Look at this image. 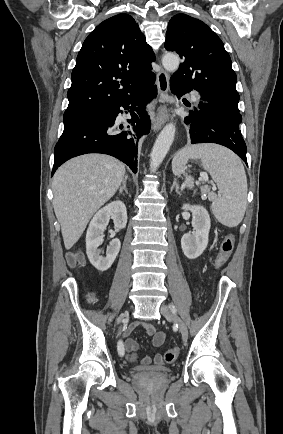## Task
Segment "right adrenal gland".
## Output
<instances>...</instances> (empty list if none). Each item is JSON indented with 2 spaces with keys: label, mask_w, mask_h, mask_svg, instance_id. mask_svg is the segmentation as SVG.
I'll return each mask as SVG.
<instances>
[{
  "label": "right adrenal gland",
  "mask_w": 283,
  "mask_h": 434,
  "mask_svg": "<svg viewBox=\"0 0 283 434\" xmlns=\"http://www.w3.org/2000/svg\"><path fill=\"white\" fill-rule=\"evenodd\" d=\"M127 179H128V175H125V177H124V179L122 181V186L119 189V193L120 194H123V192H125L126 194H128V190L126 188Z\"/></svg>",
  "instance_id": "1"
}]
</instances>
